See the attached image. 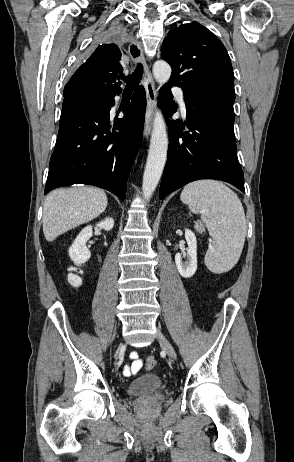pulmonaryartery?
Returning <instances> with one entry per match:
<instances>
[{"instance_id":"e3ab8cb5","label":"pulmonary artery","mask_w":294,"mask_h":462,"mask_svg":"<svg viewBox=\"0 0 294 462\" xmlns=\"http://www.w3.org/2000/svg\"><path fill=\"white\" fill-rule=\"evenodd\" d=\"M174 93H175V97H176V100L180 106V109L182 112H185L186 111V103H185V98H184V94H183V91L179 88L175 89L174 90Z\"/></svg>"}]
</instances>
